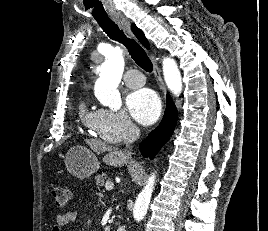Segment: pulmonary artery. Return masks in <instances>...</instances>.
<instances>
[{
  "instance_id": "1",
  "label": "pulmonary artery",
  "mask_w": 268,
  "mask_h": 231,
  "mask_svg": "<svg viewBox=\"0 0 268 231\" xmlns=\"http://www.w3.org/2000/svg\"><path fill=\"white\" fill-rule=\"evenodd\" d=\"M123 81L130 88H137L144 85L143 74L138 69H129L123 76Z\"/></svg>"
}]
</instances>
